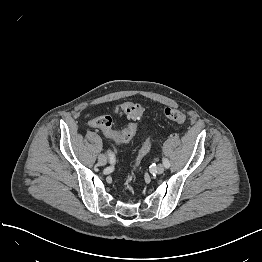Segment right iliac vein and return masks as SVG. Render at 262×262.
I'll return each mask as SVG.
<instances>
[{
	"label": "right iliac vein",
	"mask_w": 262,
	"mask_h": 262,
	"mask_svg": "<svg viewBox=\"0 0 262 262\" xmlns=\"http://www.w3.org/2000/svg\"><path fill=\"white\" fill-rule=\"evenodd\" d=\"M98 163H99L101 166L106 165V163H107V157H106L105 154H100V155L98 156Z\"/></svg>",
	"instance_id": "1"
}]
</instances>
